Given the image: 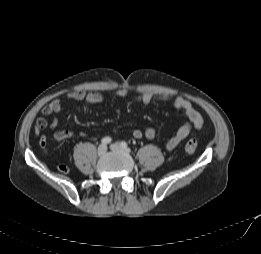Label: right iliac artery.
Segmentation results:
<instances>
[{"label":"right iliac artery","instance_id":"1","mask_svg":"<svg viewBox=\"0 0 261 254\" xmlns=\"http://www.w3.org/2000/svg\"><path fill=\"white\" fill-rule=\"evenodd\" d=\"M111 141H112V139L107 136V137H104V138L101 140V143L104 144V145H107V144H109Z\"/></svg>","mask_w":261,"mask_h":254}]
</instances>
